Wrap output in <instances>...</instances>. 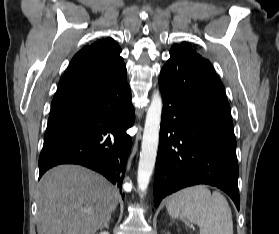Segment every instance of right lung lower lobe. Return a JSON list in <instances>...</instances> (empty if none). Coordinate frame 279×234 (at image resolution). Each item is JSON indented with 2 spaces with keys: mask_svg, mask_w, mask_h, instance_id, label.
Wrapping results in <instances>:
<instances>
[{
  "mask_svg": "<svg viewBox=\"0 0 279 234\" xmlns=\"http://www.w3.org/2000/svg\"><path fill=\"white\" fill-rule=\"evenodd\" d=\"M126 70L92 88L55 98L39 157V178L59 164L91 168L122 189L135 119Z\"/></svg>",
  "mask_w": 279,
  "mask_h": 234,
  "instance_id": "obj_1",
  "label": "right lung lower lobe"
}]
</instances>
